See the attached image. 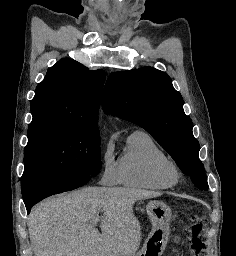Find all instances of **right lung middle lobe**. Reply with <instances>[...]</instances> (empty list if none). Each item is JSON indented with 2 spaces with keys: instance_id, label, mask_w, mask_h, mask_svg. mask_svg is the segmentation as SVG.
I'll list each match as a JSON object with an SVG mask.
<instances>
[{
  "instance_id": "right-lung-middle-lobe-1",
  "label": "right lung middle lobe",
  "mask_w": 236,
  "mask_h": 256,
  "mask_svg": "<svg viewBox=\"0 0 236 256\" xmlns=\"http://www.w3.org/2000/svg\"><path fill=\"white\" fill-rule=\"evenodd\" d=\"M101 169L98 128L66 123H35L28 128L24 149L25 196L42 186L99 174Z\"/></svg>"
}]
</instances>
